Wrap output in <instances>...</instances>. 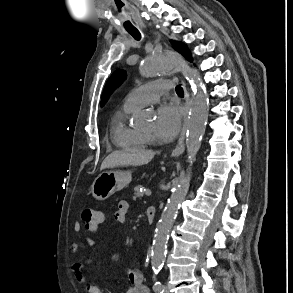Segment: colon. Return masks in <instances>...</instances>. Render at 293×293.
I'll use <instances>...</instances> for the list:
<instances>
[{
    "mask_svg": "<svg viewBox=\"0 0 293 293\" xmlns=\"http://www.w3.org/2000/svg\"><path fill=\"white\" fill-rule=\"evenodd\" d=\"M81 220L87 229H96L101 223V212L92 208H85L81 212Z\"/></svg>",
    "mask_w": 293,
    "mask_h": 293,
    "instance_id": "obj_1",
    "label": "colon"
}]
</instances>
